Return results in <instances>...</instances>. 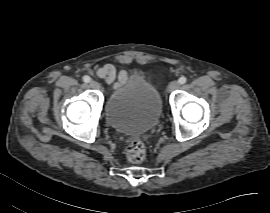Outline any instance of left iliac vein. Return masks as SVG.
<instances>
[{
  "mask_svg": "<svg viewBox=\"0 0 270 213\" xmlns=\"http://www.w3.org/2000/svg\"><path fill=\"white\" fill-rule=\"evenodd\" d=\"M178 88H179V82L176 81V80H174V81H172V82L168 85V87H167V92L170 93V92H172L173 90H176V89H178Z\"/></svg>",
  "mask_w": 270,
  "mask_h": 213,
  "instance_id": "obj_1",
  "label": "left iliac vein"
}]
</instances>
